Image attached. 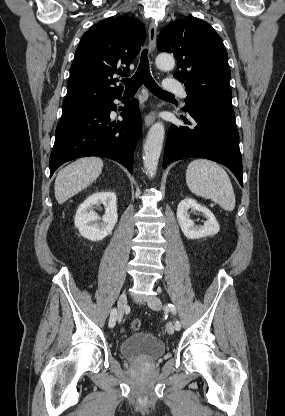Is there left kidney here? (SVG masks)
I'll list each match as a JSON object with an SVG mask.
<instances>
[{
  "instance_id": "1",
  "label": "left kidney",
  "mask_w": 285,
  "mask_h": 416,
  "mask_svg": "<svg viewBox=\"0 0 285 416\" xmlns=\"http://www.w3.org/2000/svg\"><path fill=\"white\" fill-rule=\"evenodd\" d=\"M188 210L191 212H202L205 218H207L206 222H204V226H194L193 220H190L188 214ZM177 220L178 224L186 238L189 240H196V238H206V236H215L217 232H219V224L216 222V218L208 208H204V206H200L197 204L195 200H191V198H185V200H181L178 208H177Z\"/></svg>"
}]
</instances>
